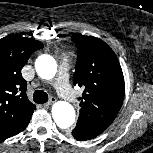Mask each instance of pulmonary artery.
Masks as SVG:
<instances>
[{
	"mask_svg": "<svg viewBox=\"0 0 153 153\" xmlns=\"http://www.w3.org/2000/svg\"><path fill=\"white\" fill-rule=\"evenodd\" d=\"M68 67H69L68 58L67 56H64L62 58V61L59 67V71H58V75H57V79L54 85H55V88L58 94L63 99L69 102H75L76 100L75 94L68 82Z\"/></svg>",
	"mask_w": 153,
	"mask_h": 153,
	"instance_id": "pulmonary-artery-1",
	"label": "pulmonary artery"
}]
</instances>
